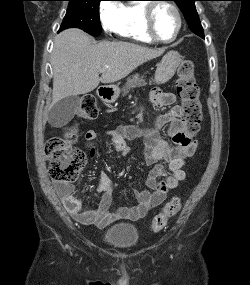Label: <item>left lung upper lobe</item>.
<instances>
[{"mask_svg": "<svg viewBox=\"0 0 250 285\" xmlns=\"http://www.w3.org/2000/svg\"><path fill=\"white\" fill-rule=\"evenodd\" d=\"M181 9L184 17L192 32L204 38L203 28L201 26L198 13L195 8V1L197 0H173Z\"/></svg>", "mask_w": 250, "mask_h": 285, "instance_id": "obj_1", "label": "left lung upper lobe"}]
</instances>
